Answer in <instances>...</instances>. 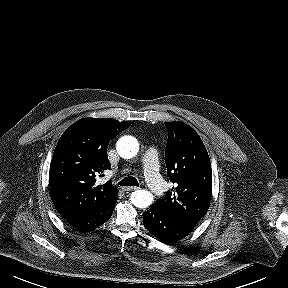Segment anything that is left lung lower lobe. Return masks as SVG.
I'll return each instance as SVG.
<instances>
[{"instance_id": "obj_1", "label": "left lung lower lobe", "mask_w": 288, "mask_h": 288, "mask_svg": "<svg viewBox=\"0 0 288 288\" xmlns=\"http://www.w3.org/2000/svg\"><path fill=\"white\" fill-rule=\"evenodd\" d=\"M143 224L151 234L166 243L183 239L194 228L158 209L155 204L144 212Z\"/></svg>"}]
</instances>
